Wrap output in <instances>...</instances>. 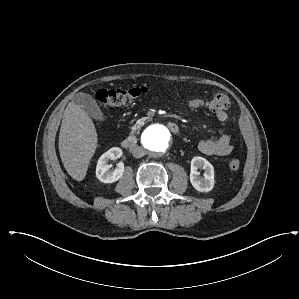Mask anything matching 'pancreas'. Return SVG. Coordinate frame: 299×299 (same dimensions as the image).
<instances>
[{
  "instance_id": "obj_1",
  "label": "pancreas",
  "mask_w": 299,
  "mask_h": 299,
  "mask_svg": "<svg viewBox=\"0 0 299 299\" xmlns=\"http://www.w3.org/2000/svg\"><path fill=\"white\" fill-rule=\"evenodd\" d=\"M146 119H142V121L138 122L137 124H135L133 127H132V133L136 132L137 130H139L141 128V126L144 124V121Z\"/></svg>"
}]
</instances>
